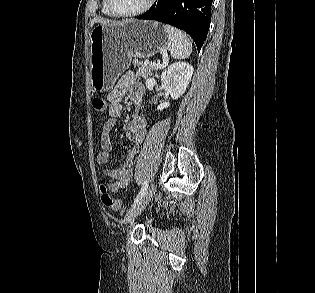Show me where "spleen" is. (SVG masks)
I'll return each instance as SVG.
<instances>
[{"label":"spleen","instance_id":"1","mask_svg":"<svg viewBox=\"0 0 315 293\" xmlns=\"http://www.w3.org/2000/svg\"><path fill=\"white\" fill-rule=\"evenodd\" d=\"M164 29L168 34L169 45L168 49L170 55L174 59H185L192 53V43L189 37L181 30L171 26L165 25Z\"/></svg>","mask_w":315,"mask_h":293}]
</instances>
